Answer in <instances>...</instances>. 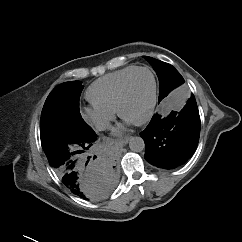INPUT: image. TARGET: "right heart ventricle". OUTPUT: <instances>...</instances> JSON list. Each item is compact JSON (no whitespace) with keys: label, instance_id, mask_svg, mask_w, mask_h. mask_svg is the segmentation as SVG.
<instances>
[{"label":"right heart ventricle","instance_id":"e07e8e85","mask_svg":"<svg viewBox=\"0 0 242 242\" xmlns=\"http://www.w3.org/2000/svg\"><path fill=\"white\" fill-rule=\"evenodd\" d=\"M135 68L137 67L127 66L94 81L87 89L88 100L98 107L115 111L122 83Z\"/></svg>","mask_w":242,"mask_h":242}]
</instances>
